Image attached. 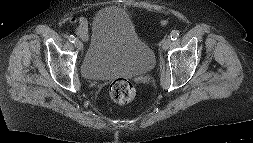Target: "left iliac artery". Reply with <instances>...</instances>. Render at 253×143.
Listing matches in <instances>:
<instances>
[{
	"label": "left iliac artery",
	"instance_id": "left-iliac-artery-1",
	"mask_svg": "<svg viewBox=\"0 0 253 143\" xmlns=\"http://www.w3.org/2000/svg\"><path fill=\"white\" fill-rule=\"evenodd\" d=\"M178 36H179V31L174 30V31H172L170 38H171V40H176L178 38Z\"/></svg>",
	"mask_w": 253,
	"mask_h": 143
}]
</instances>
